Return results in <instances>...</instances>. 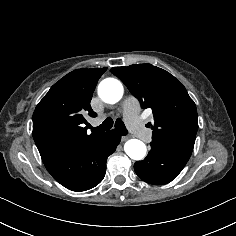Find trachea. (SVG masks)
I'll return each instance as SVG.
<instances>
[{"label": "trachea", "instance_id": "trachea-1", "mask_svg": "<svg viewBox=\"0 0 236 236\" xmlns=\"http://www.w3.org/2000/svg\"><path fill=\"white\" fill-rule=\"evenodd\" d=\"M113 126V120L112 118L108 117L100 126L98 127H91V131H106L110 130ZM115 128L118 130L121 134L126 135L127 129L121 119H117L115 122Z\"/></svg>", "mask_w": 236, "mask_h": 236}]
</instances>
